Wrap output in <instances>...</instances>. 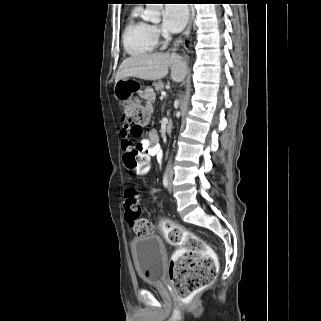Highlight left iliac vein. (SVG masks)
<instances>
[{
	"instance_id": "obj_1",
	"label": "left iliac vein",
	"mask_w": 321,
	"mask_h": 321,
	"mask_svg": "<svg viewBox=\"0 0 321 321\" xmlns=\"http://www.w3.org/2000/svg\"><path fill=\"white\" fill-rule=\"evenodd\" d=\"M171 179V178H170ZM169 191H171V183H169V189H168Z\"/></svg>"
}]
</instances>
